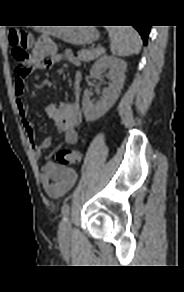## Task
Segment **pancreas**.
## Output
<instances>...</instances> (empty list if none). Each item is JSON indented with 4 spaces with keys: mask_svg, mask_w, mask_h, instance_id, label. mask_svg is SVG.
Returning a JSON list of instances; mask_svg holds the SVG:
<instances>
[{
    "mask_svg": "<svg viewBox=\"0 0 184 292\" xmlns=\"http://www.w3.org/2000/svg\"><path fill=\"white\" fill-rule=\"evenodd\" d=\"M103 52L99 51L98 48L82 49L78 51L77 55L79 60L88 62L98 58Z\"/></svg>",
    "mask_w": 184,
    "mask_h": 292,
    "instance_id": "cf45deb5",
    "label": "pancreas"
}]
</instances>
